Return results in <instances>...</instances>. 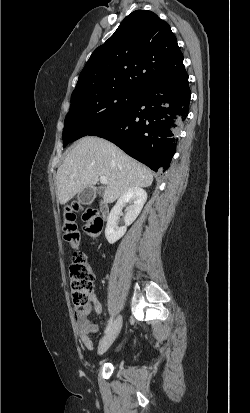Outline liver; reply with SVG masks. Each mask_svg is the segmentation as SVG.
<instances>
[{
  "mask_svg": "<svg viewBox=\"0 0 250 413\" xmlns=\"http://www.w3.org/2000/svg\"><path fill=\"white\" fill-rule=\"evenodd\" d=\"M104 176L108 180L103 201L112 203L132 187H149L153 174L111 142L94 136L74 144L56 174L57 199L62 205L92 187Z\"/></svg>",
  "mask_w": 250,
  "mask_h": 413,
  "instance_id": "6515ba94",
  "label": "liver"
}]
</instances>
